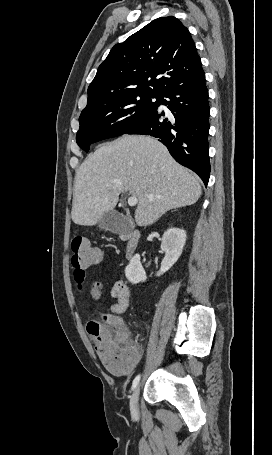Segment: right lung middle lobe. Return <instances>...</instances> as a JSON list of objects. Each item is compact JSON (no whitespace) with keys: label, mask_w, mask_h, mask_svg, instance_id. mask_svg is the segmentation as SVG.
Masks as SVG:
<instances>
[{"label":"right lung middle lobe","mask_w":272,"mask_h":455,"mask_svg":"<svg viewBox=\"0 0 272 455\" xmlns=\"http://www.w3.org/2000/svg\"><path fill=\"white\" fill-rule=\"evenodd\" d=\"M159 99V95H135L81 113L78 145L88 152L92 143L127 133L157 109Z\"/></svg>","instance_id":"dd1d6c3e"}]
</instances>
